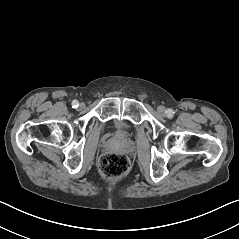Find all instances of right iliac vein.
<instances>
[{
  "label": "right iliac vein",
  "mask_w": 239,
  "mask_h": 239,
  "mask_svg": "<svg viewBox=\"0 0 239 239\" xmlns=\"http://www.w3.org/2000/svg\"><path fill=\"white\" fill-rule=\"evenodd\" d=\"M79 107H80V108H83V107H84V104H83V103H81V104L79 105Z\"/></svg>",
  "instance_id": "obj_1"
}]
</instances>
